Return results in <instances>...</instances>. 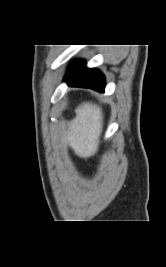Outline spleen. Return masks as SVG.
Segmentation results:
<instances>
[{"instance_id": "obj_1", "label": "spleen", "mask_w": 166, "mask_h": 267, "mask_svg": "<svg viewBox=\"0 0 166 267\" xmlns=\"http://www.w3.org/2000/svg\"><path fill=\"white\" fill-rule=\"evenodd\" d=\"M102 126L100 107L83 103L76 109V118L70 123L68 140L78 156L90 157L97 151Z\"/></svg>"}]
</instances>
